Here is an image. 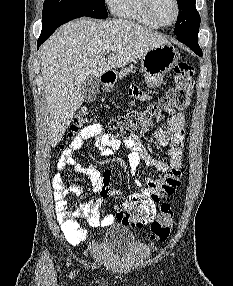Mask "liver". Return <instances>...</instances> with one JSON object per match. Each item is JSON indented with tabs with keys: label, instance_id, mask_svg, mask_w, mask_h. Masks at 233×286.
Masks as SVG:
<instances>
[{
	"label": "liver",
	"instance_id": "obj_1",
	"mask_svg": "<svg viewBox=\"0 0 233 286\" xmlns=\"http://www.w3.org/2000/svg\"><path fill=\"white\" fill-rule=\"evenodd\" d=\"M166 43L165 37L124 19L80 18L60 27L40 48L51 145L61 141L84 102L82 85L88 75L100 77Z\"/></svg>",
	"mask_w": 233,
	"mask_h": 286
}]
</instances>
